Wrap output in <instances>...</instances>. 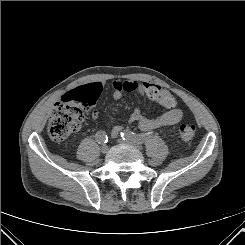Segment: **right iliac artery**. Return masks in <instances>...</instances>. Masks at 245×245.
<instances>
[{
    "mask_svg": "<svg viewBox=\"0 0 245 245\" xmlns=\"http://www.w3.org/2000/svg\"><path fill=\"white\" fill-rule=\"evenodd\" d=\"M95 137L99 144H105L108 142L107 134L104 131H98Z\"/></svg>",
    "mask_w": 245,
    "mask_h": 245,
    "instance_id": "right-iliac-artery-1",
    "label": "right iliac artery"
}]
</instances>
